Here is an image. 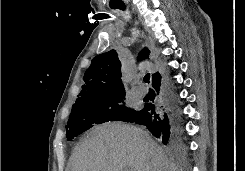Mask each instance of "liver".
Segmentation results:
<instances>
[{
    "label": "liver",
    "mask_w": 245,
    "mask_h": 171,
    "mask_svg": "<svg viewBox=\"0 0 245 171\" xmlns=\"http://www.w3.org/2000/svg\"><path fill=\"white\" fill-rule=\"evenodd\" d=\"M70 163L71 171H179L145 131L121 123L94 127Z\"/></svg>",
    "instance_id": "obj_1"
}]
</instances>
